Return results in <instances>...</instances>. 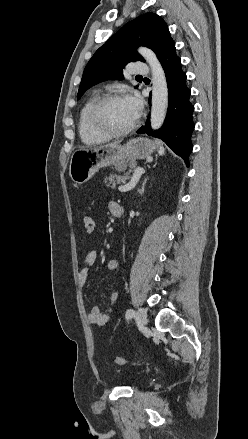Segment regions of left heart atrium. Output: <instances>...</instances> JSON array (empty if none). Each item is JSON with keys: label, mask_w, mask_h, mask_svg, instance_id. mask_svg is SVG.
<instances>
[{"label": "left heart atrium", "mask_w": 248, "mask_h": 439, "mask_svg": "<svg viewBox=\"0 0 248 439\" xmlns=\"http://www.w3.org/2000/svg\"><path fill=\"white\" fill-rule=\"evenodd\" d=\"M125 101L130 106V108L133 110L134 114L137 117L139 115V113L141 111V107H142V102H141L140 98L136 95H128L125 98Z\"/></svg>", "instance_id": "left-heart-atrium-1"}]
</instances>
